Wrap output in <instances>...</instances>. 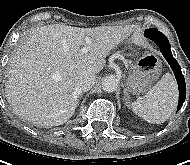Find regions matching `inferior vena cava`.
<instances>
[{"mask_svg":"<svg viewBox=\"0 0 190 165\" xmlns=\"http://www.w3.org/2000/svg\"><path fill=\"white\" fill-rule=\"evenodd\" d=\"M95 81H96V77H95V74L93 73L87 72V73L77 76L76 82H75L76 92L80 94L82 92L88 91L94 86Z\"/></svg>","mask_w":190,"mask_h":165,"instance_id":"inferior-vena-cava-1","label":"inferior vena cava"}]
</instances>
